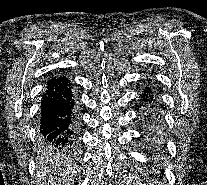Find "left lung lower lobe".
Listing matches in <instances>:
<instances>
[{
    "label": "left lung lower lobe",
    "mask_w": 207,
    "mask_h": 185,
    "mask_svg": "<svg viewBox=\"0 0 207 185\" xmlns=\"http://www.w3.org/2000/svg\"><path fill=\"white\" fill-rule=\"evenodd\" d=\"M148 84L149 81L142 95L143 102H145L144 105L149 106V109L148 107H146L147 113L144 115L145 116L144 122L148 132L147 134L148 139L155 143L157 141L155 130L158 123V117L156 115V112L153 110L154 107L152 106V104L154 103V98L152 96V92Z\"/></svg>",
    "instance_id": "1"
}]
</instances>
